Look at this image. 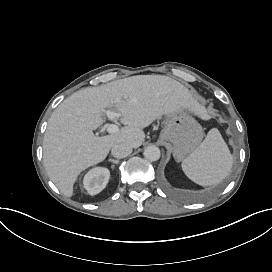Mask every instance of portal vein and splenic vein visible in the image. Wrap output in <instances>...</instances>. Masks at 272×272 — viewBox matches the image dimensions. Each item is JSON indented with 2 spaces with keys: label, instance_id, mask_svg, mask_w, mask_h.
I'll list each match as a JSON object with an SVG mask.
<instances>
[{
  "label": "portal vein and splenic vein",
  "instance_id": "1",
  "mask_svg": "<svg viewBox=\"0 0 272 272\" xmlns=\"http://www.w3.org/2000/svg\"><path fill=\"white\" fill-rule=\"evenodd\" d=\"M120 116H122L120 113H115V112H111V111L107 112V117L111 121H115L116 117H120ZM107 131L109 133H116L118 131V126L115 124H110L107 127Z\"/></svg>",
  "mask_w": 272,
  "mask_h": 272
}]
</instances>
